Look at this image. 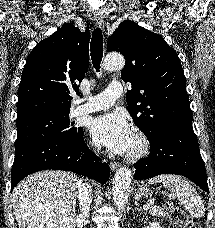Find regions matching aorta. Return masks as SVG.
I'll return each mask as SVG.
<instances>
[{
    "mask_svg": "<svg viewBox=\"0 0 215 228\" xmlns=\"http://www.w3.org/2000/svg\"><path fill=\"white\" fill-rule=\"evenodd\" d=\"M106 70H122L125 60L121 54H108L105 58ZM132 172L129 168H118L112 182V196L118 210H124L128 200V192L132 182Z\"/></svg>",
    "mask_w": 215,
    "mask_h": 228,
    "instance_id": "obj_1",
    "label": "aorta"
}]
</instances>
